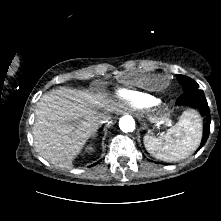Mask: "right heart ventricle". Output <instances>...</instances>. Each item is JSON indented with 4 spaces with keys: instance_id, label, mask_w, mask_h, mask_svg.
Returning <instances> with one entry per match:
<instances>
[{
    "instance_id": "right-heart-ventricle-1",
    "label": "right heart ventricle",
    "mask_w": 221,
    "mask_h": 221,
    "mask_svg": "<svg viewBox=\"0 0 221 221\" xmlns=\"http://www.w3.org/2000/svg\"><path fill=\"white\" fill-rule=\"evenodd\" d=\"M116 95L119 99L129 102L134 106H150L157 102V99L140 91L132 89H118Z\"/></svg>"
}]
</instances>
